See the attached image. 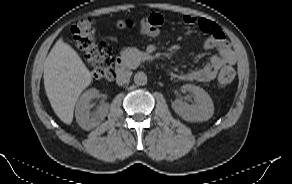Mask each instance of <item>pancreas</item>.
Segmentation results:
<instances>
[{"label":"pancreas","mask_w":292,"mask_h":184,"mask_svg":"<svg viewBox=\"0 0 292 184\" xmlns=\"http://www.w3.org/2000/svg\"><path fill=\"white\" fill-rule=\"evenodd\" d=\"M124 65L128 69L136 68L141 62V52L136 48H125L121 51Z\"/></svg>","instance_id":"pancreas-1"}]
</instances>
